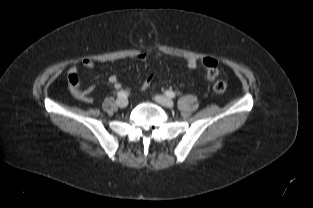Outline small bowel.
<instances>
[{"label": "small bowel", "instance_id": "c3829d8e", "mask_svg": "<svg viewBox=\"0 0 313 208\" xmlns=\"http://www.w3.org/2000/svg\"><path fill=\"white\" fill-rule=\"evenodd\" d=\"M151 56L152 54L150 52H143V53L138 54L136 58L141 61H147ZM155 56L157 58L160 57L159 54H156ZM81 63L86 68H93L95 66V61L90 57H86L82 59ZM186 64L189 69H195L200 64L207 71L212 67H217V61L212 57H205L201 59L200 62H198L194 58H188L186 61ZM68 83H69L70 92L75 98L85 103H91L93 101V97L91 96V91L84 90L81 87L79 83L78 69L75 66L71 67L69 70ZM107 85L114 89L121 88V82L118 80L116 76H110L107 80Z\"/></svg>", "mask_w": 313, "mask_h": 208}]
</instances>
